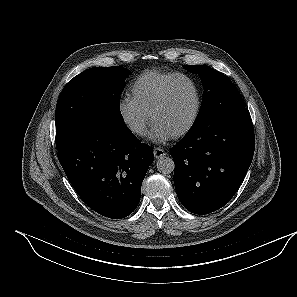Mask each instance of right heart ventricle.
<instances>
[{
  "label": "right heart ventricle",
  "mask_w": 297,
  "mask_h": 297,
  "mask_svg": "<svg viewBox=\"0 0 297 297\" xmlns=\"http://www.w3.org/2000/svg\"><path fill=\"white\" fill-rule=\"evenodd\" d=\"M177 73L149 70L140 74L130 87L131 99L147 114L162 89Z\"/></svg>",
  "instance_id": "e07e8e85"
}]
</instances>
